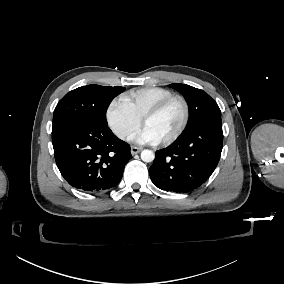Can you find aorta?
<instances>
[{"label":"aorta","mask_w":284,"mask_h":284,"mask_svg":"<svg viewBox=\"0 0 284 284\" xmlns=\"http://www.w3.org/2000/svg\"><path fill=\"white\" fill-rule=\"evenodd\" d=\"M141 159L146 163L152 162L155 159V154L153 151L145 149L141 152Z\"/></svg>","instance_id":"obj_1"}]
</instances>
